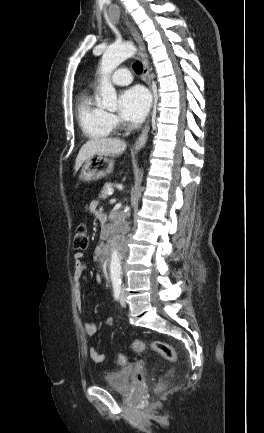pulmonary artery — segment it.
Instances as JSON below:
<instances>
[{"instance_id":"e3ab8cb5","label":"pulmonary artery","mask_w":264,"mask_h":433,"mask_svg":"<svg viewBox=\"0 0 264 433\" xmlns=\"http://www.w3.org/2000/svg\"><path fill=\"white\" fill-rule=\"evenodd\" d=\"M112 82L115 85L124 86L132 82V77L128 69L121 68L116 71L112 78Z\"/></svg>"}]
</instances>
